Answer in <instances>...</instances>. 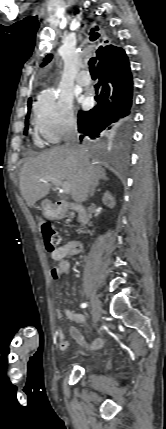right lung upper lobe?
Returning a JSON list of instances; mask_svg holds the SVG:
<instances>
[{"label":"right lung upper lobe","instance_id":"1","mask_svg":"<svg viewBox=\"0 0 166 429\" xmlns=\"http://www.w3.org/2000/svg\"><path fill=\"white\" fill-rule=\"evenodd\" d=\"M99 37L98 33L91 32V40H95ZM108 41H105L107 43ZM122 48L116 47L112 44L100 46L98 50L96 51V55L99 61L108 59L110 57L120 56L122 54ZM52 59V55L49 54L46 56V58L43 60L42 67L45 66L47 63H49ZM31 100V98L28 100V102Z\"/></svg>","mask_w":166,"mask_h":429}]
</instances>
